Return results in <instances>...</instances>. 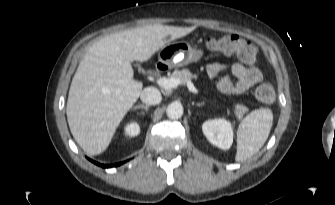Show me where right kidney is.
<instances>
[{"label": "right kidney", "mask_w": 335, "mask_h": 205, "mask_svg": "<svg viewBox=\"0 0 335 205\" xmlns=\"http://www.w3.org/2000/svg\"><path fill=\"white\" fill-rule=\"evenodd\" d=\"M126 136L135 137L140 133V127L137 122H131L124 127Z\"/></svg>", "instance_id": "right-kidney-1"}]
</instances>
